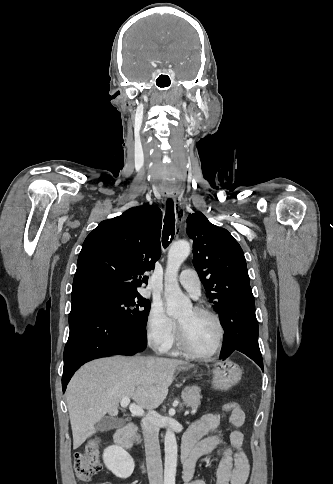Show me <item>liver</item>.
<instances>
[{
    "instance_id": "6515ba94",
    "label": "liver",
    "mask_w": 333,
    "mask_h": 484,
    "mask_svg": "<svg viewBox=\"0 0 333 484\" xmlns=\"http://www.w3.org/2000/svg\"><path fill=\"white\" fill-rule=\"evenodd\" d=\"M194 365L182 360L154 357H109L84 365L70 380L66 402L77 449L96 432V424L108 413L118 415L125 397L152 410L166 399L177 369Z\"/></svg>"
}]
</instances>
